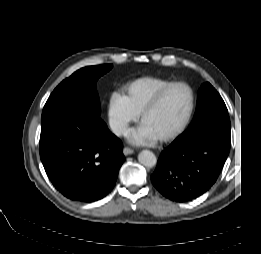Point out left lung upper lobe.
Segmentation results:
<instances>
[{"mask_svg":"<svg viewBox=\"0 0 261 254\" xmlns=\"http://www.w3.org/2000/svg\"><path fill=\"white\" fill-rule=\"evenodd\" d=\"M210 128L230 129V119L226 105L219 93L210 83H205L198 91L194 119L183 134L186 136L197 135Z\"/></svg>","mask_w":261,"mask_h":254,"instance_id":"obj_1","label":"left lung upper lobe"}]
</instances>
